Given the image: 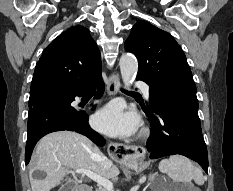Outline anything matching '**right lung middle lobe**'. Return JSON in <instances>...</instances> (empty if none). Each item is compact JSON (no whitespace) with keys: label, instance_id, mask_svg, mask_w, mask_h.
I'll return each instance as SVG.
<instances>
[{"label":"right lung middle lobe","instance_id":"1","mask_svg":"<svg viewBox=\"0 0 233 191\" xmlns=\"http://www.w3.org/2000/svg\"><path fill=\"white\" fill-rule=\"evenodd\" d=\"M46 94L48 96H50L51 98L56 99L58 101L69 103V100L67 98H65L64 96H62L61 94H59V93H56V92H47ZM31 104H32V102H29V105H31Z\"/></svg>","mask_w":233,"mask_h":191}]
</instances>
